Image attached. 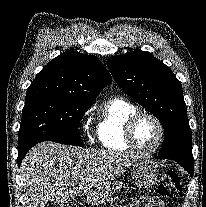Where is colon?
Instances as JSON below:
<instances>
[{
    "instance_id": "5ec220e1",
    "label": "colon",
    "mask_w": 206,
    "mask_h": 207,
    "mask_svg": "<svg viewBox=\"0 0 206 207\" xmlns=\"http://www.w3.org/2000/svg\"><path fill=\"white\" fill-rule=\"evenodd\" d=\"M157 192L160 196L176 200L182 194V184L180 176L174 170L166 171L157 187ZM62 207H73L72 204H65Z\"/></svg>"
}]
</instances>
